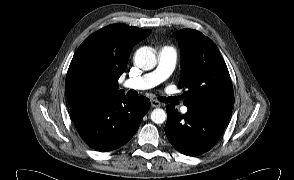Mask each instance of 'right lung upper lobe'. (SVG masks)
Instances as JSON below:
<instances>
[{"instance_id":"obj_1","label":"right lung upper lobe","mask_w":294,"mask_h":180,"mask_svg":"<svg viewBox=\"0 0 294 180\" xmlns=\"http://www.w3.org/2000/svg\"><path fill=\"white\" fill-rule=\"evenodd\" d=\"M150 33V29L113 24L86 38L66 75L65 93L70 109L124 94L118 90V79L126 69L132 47Z\"/></svg>"}]
</instances>
